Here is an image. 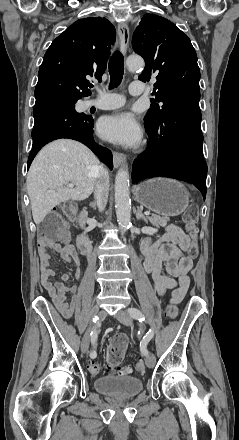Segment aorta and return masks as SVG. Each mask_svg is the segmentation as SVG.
<instances>
[{
	"mask_svg": "<svg viewBox=\"0 0 239 440\" xmlns=\"http://www.w3.org/2000/svg\"><path fill=\"white\" fill-rule=\"evenodd\" d=\"M126 66L130 72L143 68L144 60L140 56H129ZM115 208L121 230H126L131 222V200L129 190V172L120 168L115 178Z\"/></svg>",
	"mask_w": 239,
	"mask_h": 440,
	"instance_id": "obj_1",
	"label": "aorta"
}]
</instances>
